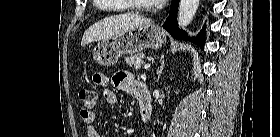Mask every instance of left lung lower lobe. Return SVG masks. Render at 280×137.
<instances>
[{
  "label": "left lung lower lobe",
  "mask_w": 280,
  "mask_h": 137,
  "mask_svg": "<svg viewBox=\"0 0 280 137\" xmlns=\"http://www.w3.org/2000/svg\"><path fill=\"white\" fill-rule=\"evenodd\" d=\"M179 0H172L171 13L169 17L166 19L163 27L171 34L172 37L180 40H190L203 48L204 45V35H205V27L199 33L196 38H190L187 36L183 30L178 28L177 24V10H178Z\"/></svg>",
  "instance_id": "1"
}]
</instances>
